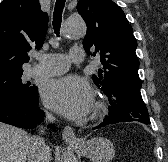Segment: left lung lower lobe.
Here are the masks:
<instances>
[{
	"instance_id": "obj_1",
	"label": "left lung lower lobe",
	"mask_w": 168,
	"mask_h": 162,
	"mask_svg": "<svg viewBox=\"0 0 168 162\" xmlns=\"http://www.w3.org/2000/svg\"><path fill=\"white\" fill-rule=\"evenodd\" d=\"M105 94L109 97L111 110L104 122L95 129L118 122L138 121L146 125L150 124L147 107L140 91L121 87Z\"/></svg>"
}]
</instances>
